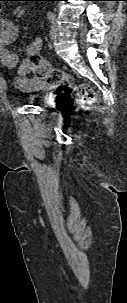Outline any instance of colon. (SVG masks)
Returning <instances> with one entry per match:
<instances>
[{
  "mask_svg": "<svg viewBox=\"0 0 127 303\" xmlns=\"http://www.w3.org/2000/svg\"><path fill=\"white\" fill-rule=\"evenodd\" d=\"M30 63L38 77L43 79L51 88H71L70 93L63 92L60 95L61 102L73 104L77 101L92 104L95 102V95L90 85L80 84L73 86V78L63 70L53 67L38 53L30 56Z\"/></svg>",
  "mask_w": 127,
  "mask_h": 303,
  "instance_id": "1",
  "label": "colon"
}]
</instances>
